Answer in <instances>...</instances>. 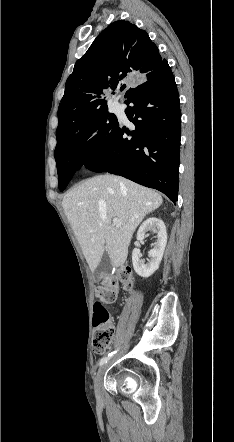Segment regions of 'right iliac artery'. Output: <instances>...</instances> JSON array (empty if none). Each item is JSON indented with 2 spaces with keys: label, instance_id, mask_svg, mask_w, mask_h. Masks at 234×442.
Instances as JSON below:
<instances>
[{
  "label": "right iliac artery",
  "instance_id": "82829eb1",
  "mask_svg": "<svg viewBox=\"0 0 234 442\" xmlns=\"http://www.w3.org/2000/svg\"><path fill=\"white\" fill-rule=\"evenodd\" d=\"M114 353H116V352L109 353L106 357H103L100 360L99 365L101 366V365L107 363V361L113 356Z\"/></svg>",
  "mask_w": 234,
  "mask_h": 442
}]
</instances>
